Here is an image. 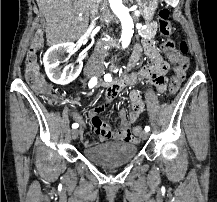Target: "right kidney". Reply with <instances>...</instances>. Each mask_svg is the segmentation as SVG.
I'll return each mask as SVG.
<instances>
[{"label":"right kidney","instance_id":"1","mask_svg":"<svg viewBox=\"0 0 217 202\" xmlns=\"http://www.w3.org/2000/svg\"><path fill=\"white\" fill-rule=\"evenodd\" d=\"M76 52L75 50V44H72V42H67V44H57V46H52V48H49L47 50L46 54H44L43 62H44V68L45 72L52 80V82H57V84H69V82H73L75 78H78L83 62H79L78 68H75L73 72H69V76H67V72H60L58 66L61 64L59 62L60 58H62L64 52Z\"/></svg>","mask_w":217,"mask_h":202}]
</instances>
